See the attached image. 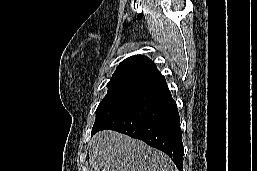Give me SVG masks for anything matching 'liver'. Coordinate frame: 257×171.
Returning <instances> with one entry per match:
<instances>
[{"instance_id":"6515ba94","label":"liver","mask_w":257,"mask_h":171,"mask_svg":"<svg viewBox=\"0 0 257 171\" xmlns=\"http://www.w3.org/2000/svg\"><path fill=\"white\" fill-rule=\"evenodd\" d=\"M89 164L91 171H178L163 152L111 130L92 138Z\"/></svg>"}]
</instances>
